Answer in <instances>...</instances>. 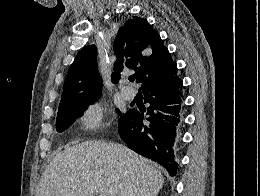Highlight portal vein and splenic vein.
Here are the masks:
<instances>
[{"instance_id":"1","label":"portal vein and splenic vein","mask_w":260,"mask_h":196,"mask_svg":"<svg viewBox=\"0 0 260 196\" xmlns=\"http://www.w3.org/2000/svg\"><path fill=\"white\" fill-rule=\"evenodd\" d=\"M98 192H95V196H97ZM99 196H102V194H99Z\"/></svg>"}]
</instances>
